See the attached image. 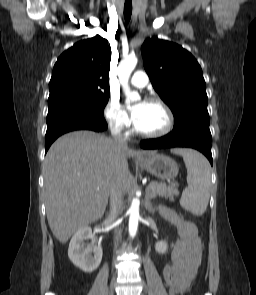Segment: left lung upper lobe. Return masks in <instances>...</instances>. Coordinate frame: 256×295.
I'll list each match as a JSON object with an SVG mask.
<instances>
[{
  "label": "left lung upper lobe",
  "mask_w": 256,
  "mask_h": 295,
  "mask_svg": "<svg viewBox=\"0 0 256 295\" xmlns=\"http://www.w3.org/2000/svg\"><path fill=\"white\" fill-rule=\"evenodd\" d=\"M141 52L154 89L174 115L173 129L187 124L209 127L206 84L191 53L157 38L147 39Z\"/></svg>",
  "instance_id": "obj_1"
}]
</instances>
